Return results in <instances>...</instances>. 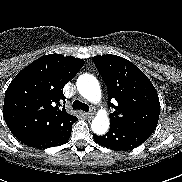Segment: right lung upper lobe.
I'll return each instance as SVG.
<instances>
[{
    "mask_svg": "<svg viewBox=\"0 0 182 182\" xmlns=\"http://www.w3.org/2000/svg\"><path fill=\"white\" fill-rule=\"evenodd\" d=\"M84 63L73 56L49 54L32 62L11 81L5 94L3 116L19 141L24 143L47 135L78 120L61 103L66 99L63 87Z\"/></svg>",
    "mask_w": 182,
    "mask_h": 182,
    "instance_id": "1",
    "label": "right lung upper lobe"
}]
</instances>
